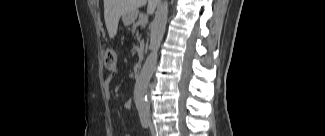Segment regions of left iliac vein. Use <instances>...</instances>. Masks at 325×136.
I'll use <instances>...</instances> for the list:
<instances>
[{
    "instance_id": "4c4485c4",
    "label": "left iliac vein",
    "mask_w": 325,
    "mask_h": 136,
    "mask_svg": "<svg viewBox=\"0 0 325 136\" xmlns=\"http://www.w3.org/2000/svg\"><path fill=\"white\" fill-rule=\"evenodd\" d=\"M149 128H150L151 134L154 135L155 134V127H154L153 123L150 121V119H149Z\"/></svg>"
}]
</instances>
